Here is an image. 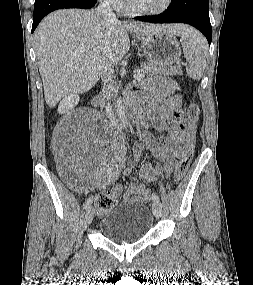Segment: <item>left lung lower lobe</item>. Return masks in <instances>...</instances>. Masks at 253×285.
<instances>
[{
  "label": "left lung lower lobe",
  "instance_id": "obj_1",
  "mask_svg": "<svg viewBox=\"0 0 253 285\" xmlns=\"http://www.w3.org/2000/svg\"><path fill=\"white\" fill-rule=\"evenodd\" d=\"M169 9L154 16H139L136 20L152 23H187L212 40V27L209 18V0H173Z\"/></svg>",
  "mask_w": 253,
  "mask_h": 285
}]
</instances>
